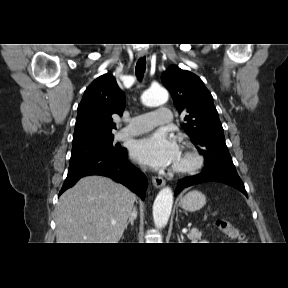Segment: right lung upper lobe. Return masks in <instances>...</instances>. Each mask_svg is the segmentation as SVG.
Returning <instances> with one entry per match:
<instances>
[{"label":"right lung upper lobe","mask_w":288,"mask_h":288,"mask_svg":"<svg viewBox=\"0 0 288 288\" xmlns=\"http://www.w3.org/2000/svg\"><path fill=\"white\" fill-rule=\"evenodd\" d=\"M124 108V93L115 77L107 73L95 79L85 90L78 106L73 146L112 136L116 124L111 116H121Z\"/></svg>","instance_id":"obj_1"}]
</instances>
